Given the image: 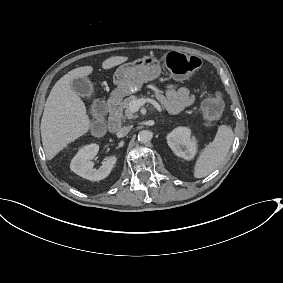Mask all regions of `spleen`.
Segmentation results:
<instances>
[{
  "mask_svg": "<svg viewBox=\"0 0 283 283\" xmlns=\"http://www.w3.org/2000/svg\"><path fill=\"white\" fill-rule=\"evenodd\" d=\"M234 140L230 125H221L214 141L205 145L199 152L193 168L195 178H204L215 171L226 158Z\"/></svg>",
  "mask_w": 283,
  "mask_h": 283,
  "instance_id": "obj_1",
  "label": "spleen"
}]
</instances>
